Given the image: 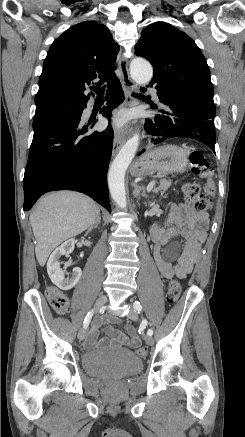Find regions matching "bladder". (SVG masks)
Masks as SVG:
<instances>
[{
	"mask_svg": "<svg viewBox=\"0 0 245 437\" xmlns=\"http://www.w3.org/2000/svg\"><path fill=\"white\" fill-rule=\"evenodd\" d=\"M84 371L97 378H123L140 372L141 359L125 349H97L85 352L81 359Z\"/></svg>",
	"mask_w": 245,
	"mask_h": 437,
	"instance_id": "31cf9c89",
	"label": "bladder"
}]
</instances>
